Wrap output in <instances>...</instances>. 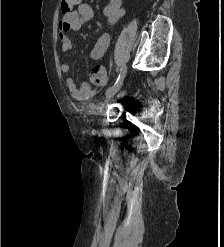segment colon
I'll use <instances>...</instances> for the list:
<instances>
[{
  "mask_svg": "<svg viewBox=\"0 0 224 247\" xmlns=\"http://www.w3.org/2000/svg\"><path fill=\"white\" fill-rule=\"evenodd\" d=\"M82 0H61V12L68 14L72 12ZM92 81L97 85H105L107 82L106 72L103 67L95 66L91 74Z\"/></svg>",
  "mask_w": 224,
  "mask_h": 247,
  "instance_id": "obj_1",
  "label": "colon"
}]
</instances>
